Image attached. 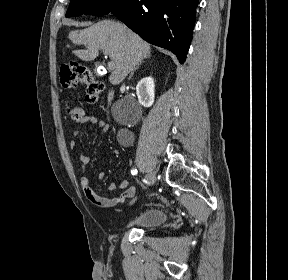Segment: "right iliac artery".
<instances>
[{
  "instance_id": "obj_1",
  "label": "right iliac artery",
  "mask_w": 288,
  "mask_h": 280,
  "mask_svg": "<svg viewBox=\"0 0 288 280\" xmlns=\"http://www.w3.org/2000/svg\"><path fill=\"white\" fill-rule=\"evenodd\" d=\"M131 173H132V175H136L137 174V170L136 169H132Z\"/></svg>"
}]
</instances>
